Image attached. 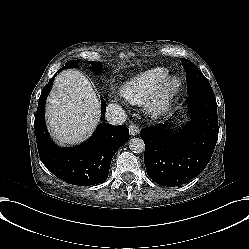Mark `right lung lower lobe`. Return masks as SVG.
<instances>
[{
  "instance_id": "1",
  "label": "right lung lower lobe",
  "mask_w": 249,
  "mask_h": 249,
  "mask_svg": "<svg viewBox=\"0 0 249 249\" xmlns=\"http://www.w3.org/2000/svg\"><path fill=\"white\" fill-rule=\"evenodd\" d=\"M53 80L43 88L35 115L40 159L49 171L69 184L89 186L103 183L108 177L113 155L129 139V130L124 125L114 126L103 122L81 145L58 148L49 137L44 119L45 102ZM101 101V118L105 120L106 102L102 97Z\"/></svg>"
}]
</instances>
